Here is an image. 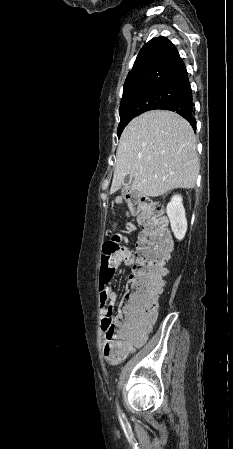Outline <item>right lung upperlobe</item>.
<instances>
[{
	"label": "right lung upper lobe",
	"mask_w": 233,
	"mask_h": 449,
	"mask_svg": "<svg viewBox=\"0 0 233 449\" xmlns=\"http://www.w3.org/2000/svg\"><path fill=\"white\" fill-rule=\"evenodd\" d=\"M188 83L186 67L176 47L166 37L160 36L147 42L140 50L125 80L123 96L155 86L181 89Z\"/></svg>",
	"instance_id": "obj_1"
}]
</instances>
